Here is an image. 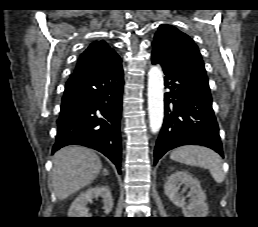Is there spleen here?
I'll return each mask as SVG.
<instances>
[{"label":"spleen","mask_w":258,"mask_h":227,"mask_svg":"<svg viewBox=\"0 0 258 227\" xmlns=\"http://www.w3.org/2000/svg\"><path fill=\"white\" fill-rule=\"evenodd\" d=\"M172 160L191 166H199L210 171L217 183L224 181L222 160L213 150L201 146H182L170 154Z\"/></svg>","instance_id":"3e777b00"}]
</instances>
